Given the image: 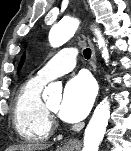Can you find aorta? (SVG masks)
<instances>
[{
    "mask_svg": "<svg viewBox=\"0 0 131 151\" xmlns=\"http://www.w3.org/2000/svg\"><path fill=\"white\" fill-rule=\"evenodd\" d=\"M79 21L76 18H65L58 24L52 27L49 40L53 47H59L66 43L77 31ZM97 43L99 48H102V57L105 62H108L109 54L107 45L101 32L95 29ZM54 87L49 85L47 92H50ZM110 118V104L107 97L96 107L92 118L90 119L84 133V147L82 151H98L99 145L104 137L108 121Z\"/></svg>",
    "mask_w": 131,
    "mask_h": 151,
    "instance_id": "762f6f07",
    "label": "aorta"
}]
</instances>
